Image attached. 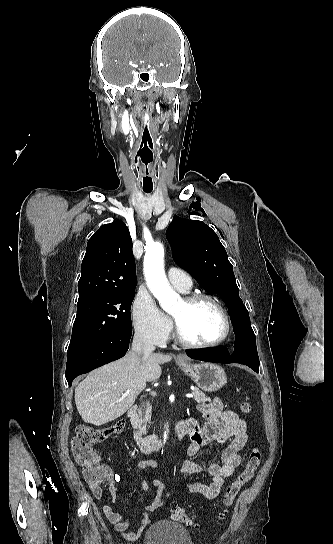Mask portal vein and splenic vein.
Wrapping results in <instances>:
<instances>
[{"label":"portal vein and splenic vein","instance_id":"18ae733b","mask_svg":"<svg viewBox=\"0 0 333 544\" xmlns=\"http://www.w3.org/2000/svg\"><path fill=\"white\" fill-rule=\"evenodd\" d=\"M129 392H130V389H128V390L126 391V393H125L123 396H124V397L127 396V395L129 394ZM152 394H153V395H156V393H154V392H153ZM185 396H186L187 398H193V397H194V395H193L192 393H187V394H185Z\"/></svg>","mask_w":333,"mask_h":544}]
</instances>
